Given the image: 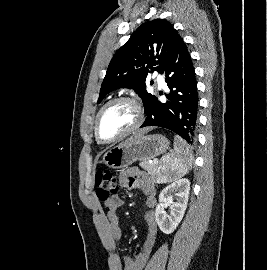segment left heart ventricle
I'll use <instances>...</instances> for the list:
<instances>
[{
    "mask_svg": "<svg viewBox=\"0 0 267 270\" xmlns=\"http://www.w3.org/2000/svg\"><path fill=\"white\" fill-rule=\"evenodd\" d=\"M137 114L134 106L120 102L108 107L99 122V131L103 139L110 140L130 129L136 122Z\"/></svg>",
    "mask_w": 267,
    "mask_h": 270,
    "instance_id": "obj_1",
    "label": "left heart ventricle"
}]
</instances>
